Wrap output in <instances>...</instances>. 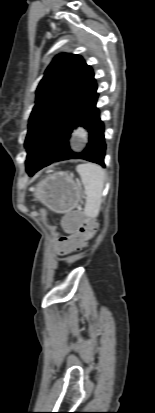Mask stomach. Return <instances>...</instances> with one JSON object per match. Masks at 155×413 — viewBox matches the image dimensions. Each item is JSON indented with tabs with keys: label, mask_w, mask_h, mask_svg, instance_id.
I'll list each match as a JSON object with an SVG mask.
<instances>
[{
	"label": "stomach",
	"mask_w": 155,
	"mask_h": 413,
	"mask_svg": "<svg viewBox=\"0 0 155 413\" xmlns=\"http://www.w3.org/2000/svg\"><path fill=\"white\" fill-rule=\"evenodd\" d=\"M35 196L51 210L68 213L78 206L83 190L80 183L67 173L55 172L37 185Z\"/></svg>",
	"instance_id": "1"
}]
</instances>
